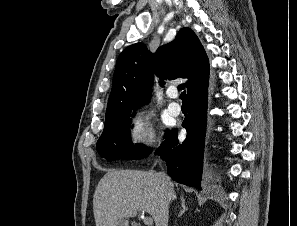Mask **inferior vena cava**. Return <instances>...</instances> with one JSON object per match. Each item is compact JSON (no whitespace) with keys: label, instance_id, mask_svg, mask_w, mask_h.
Returning a JSON list of instances; mask_svg holds the SVG:
<instances>
[{"label":"inferior vena cava","instance_id":"1","mask_svg":"<svg viewBox=\"0 0 297 226\" xmlns=\"http://www.w3.org/2000/svg\"><path fill=\"white\" fill-rule=\"evenodd\" d=\"M158 177L160 178L162 184L166 187H168V199L169 202L174 200L176 198L175 192L173 190V188L171 187V182L169 177L167 176V174L164 171H160L157 173Z\"/></svg>","mask_w":297,"mask_h":226}]
</instances>
